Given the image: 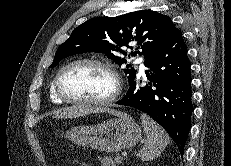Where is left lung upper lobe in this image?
Here are the masks:
<instances>
[{
  "mask_svg": "<svg viewBox=\"0 0 231 166\" xmlns=\"http://www.w3.org/2000/svg\"><path fill=\"white\" fill-rule=\"evenodd\" d=\"M176 29L169 16L150 10L93 18L75 28L69 39L58 47L50 67L56 66L65 57L86 52L103 53L119 66L126 63L120 54L130 57L139 53L148 59ZM129 44L132 46L129 47ZM122 46L133 49V52L127 54ZM124 71L129 75V83L137 75V70L131 65H126Z\"/></svg>",
  "mask_w": 231,
  "mask_h": 166,
  "instance_id": "left-lung-upper-lobe-1",
  "label": "left lung upper lobe"
}]
</instances>
